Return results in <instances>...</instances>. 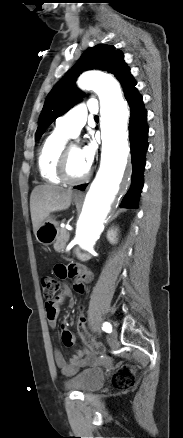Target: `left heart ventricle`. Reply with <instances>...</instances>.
<instances>
[{"label": "left heart ventricle", "instance_id": "b2bd125f", "mask_svg": "<svg viewBox=\"0 0 183 438\" xmlns=\"http://www.w3.org/2000/svg\"><path fill=\"white\" fill-rule=\"evenodd\" d=\"M89 166L83 159L81 149L73 146L69 151L67 172L70 178L78 179L86 174Z\"/></svg>", "mask_w": 183, "mask_h": 438}]
</instances>
